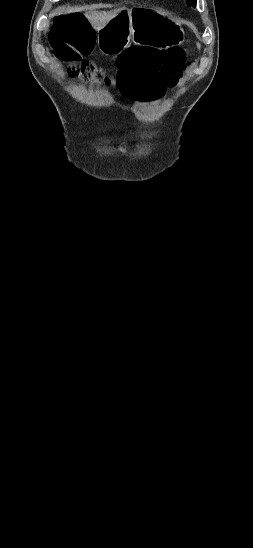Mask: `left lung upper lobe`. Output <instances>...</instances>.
<instances>
[{"instance_id":"left-lung-upper-lobe-1","label":"left lung upper lobe","mask_w":253,"mask_h":548,"mask_svg":"<svg viewBox=\"0 0 253 548\" xmlns=\"http://www.w3.org/2000/svg\"><path fill=\"white\" fill-rule=\"evenodd\" d=\"M186 1H187V4H188L189 6H193V7L196 6V0H186Z\"/></svg>"}]
</instances>
